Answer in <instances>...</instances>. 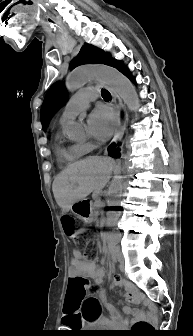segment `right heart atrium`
I'll list each match as a JSON object with an SVG mask.
<instances>
[{"label":"right heart atrium","instance_id":"right-heart-atrium-1","mask_svg":"<svg viewBox=\"0 0 193 336\" xmlns=\"http://www.w3.org/2000/svg\"><path fill=\"white\" fill-rule=\"evenodd\" d=\"M86 152L90 151L94 145L90 142L82 143Z\"/></svg>","mask_w":193,"mask_h":336}]
</instances>
